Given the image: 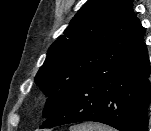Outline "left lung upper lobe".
Returning <instances> with one entry per match:
<instances>
[{
	"mask_svg": "<svg viewBox=\"0 0 151 131\" xmlns=\"http://www.w3.org/2000/svg\"><path fill=\"white\" fill-rule=\"evenodd\" d=\"M132 0H88L64 34L49 47L35 83L48 96L43 117L49 118L88 73L110 70L129 59L139 20Z\"/></svg>",
	"mask_w": 151,
	"mask_h": 131,
	"instance_id": "left-lung-upper-lobe-1",
	"label": "left lung upper lobe"
}]
</instances>
